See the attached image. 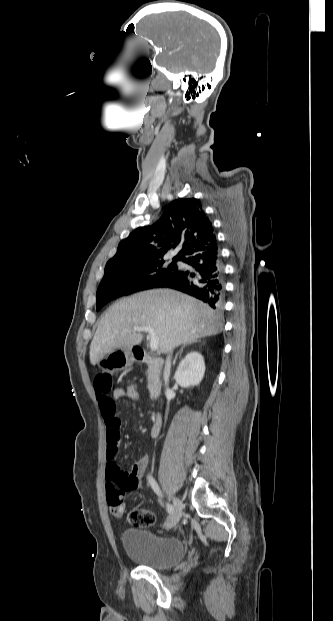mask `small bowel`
Returning a JSON list of instances; mask_svg holds the SVG:
<instances>
[{"label": "small bowel", "instance_id": "1", "mask_svg": "<svg viewBox=\"0 0 333 621\" xmlns=\"http://www.w3.org/2000/svg\"><path fill=\"white\" fill-rule=\"evenodd\" d=\"M95 389L100 412L105 421L107 437L106 456L110 463H112L121 442L120 420L117 417L115 400L123 398V388L118 387L111 394L112 379L107 373H101L96 378ZM146 464V458L140 457L132 463L130 469L127 471L133 480V486L130 490L118 488L107 475V503L110 509L115 507L124 509L125 495L127 492L141 488Z\"/></svg>", "mask_w": 333, "mask_h": 621}]
</instances>
